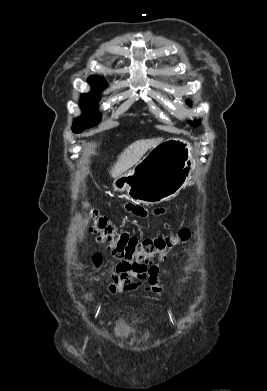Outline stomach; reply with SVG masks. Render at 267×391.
Instances as JSON below:
<instances>
[{
    "label": "stomach",
    "instance_id": "0dacf381",
    "mask_svg": "<svg viewBox=\"0 0 267 391\" xmlns=\"http://www.w3.org/2000/svg\"><path fill=\"white\" fill-rule=\"evenodd\" d=\"M195 168L194 150L182 139H169L155 146L132 170L113 182L117 192L131 201L153 205L177 196Z\"/></svg>",
    "mask_w": 267,
    "mask_h": 391
}]
</instances>
